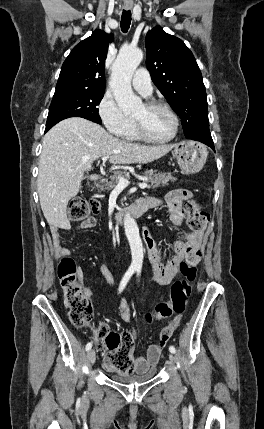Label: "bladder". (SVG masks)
Wrapping results in <instances>:
<instances>
[{
  "label": "bladder",
  "instance_id": "bladder-1",
  "mask_svg": "<svg viewBox=\"0 0 264 429\" xmlns=\"http://www.w3.org/2000/svg\"><path fill=\"white\" fill-rule=\"evenodd\" d=\"M157 370L156 367L150 368L147 372L142 374H132L128 376H113V380L120 384H136L144 383L152 380L156 376Z\"/></svg>",
  "mask_w": 264,
  "mask_h": 429
}]
</instances>
